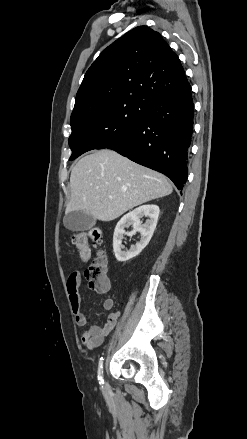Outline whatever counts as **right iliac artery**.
Instances as JSON below:
<instances>
[{
    "label": "right iliac artery",
    "instance_id": "obj_1",
    "mask_svg": "<svg viewBox=\"0 0 247 439\" xmlns=\"http://www.w3.org/2000/svg\"><path fill=\"white\" fill-rule=\"evenodd\" d=\"M103 357L100 358L99 361V366H98V380H99V384L103 385L104 384V380H103Z\"/></svg>",
    "mask_w": 247,
    "mask_h": 439
}]
</instances>
